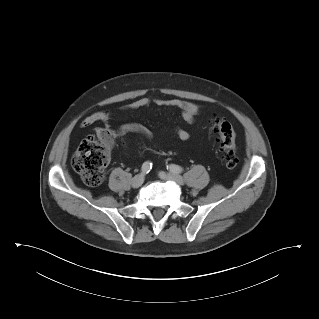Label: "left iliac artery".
<instances>
[{
	"label": "left iliac artery",
	"mask_w": 319,
	"mask_h": 319,
	"mask_svg": "<svg viewBox=\"0 0 319 319\" xmlns=\"http://www.w3.org/2000/svg\"><path fill=\"white\" fill-rule=\"evenodd\" d=\"M167 169L173 173H181L183 171L182 167L175 165V164H171V165L167 166Z\"/></svg>",
	"instance_id": "44dca946"
}]
</instances>
